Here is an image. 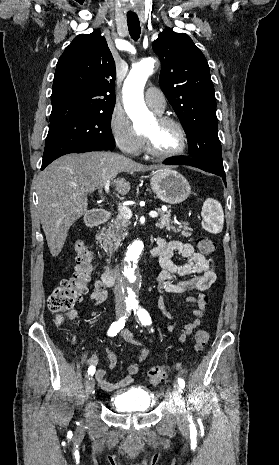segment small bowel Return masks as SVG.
Listing matches in <instances>:
<instances>
[{
  "instance_id": "obj_1",
  "label": "small bowel",
  "mask_w": 279,
  "mask_h": 465,
  "mask_svg": "<svg viewBox=\"0 0 279 465\" xmlns=\"http://www.w3.org/2000/svg\"><path fill=\"white\" fill-rule=\"evenodd\" d=\"M154 250L156 251L160 266L157 282L161 293L181 294L198 292L196 297L190 296L186 299L188 303L196 305L197 309L193 310L196 318L185 322L180 329L179 342L183 343L202 322V315L206 306L203 302V297L207 296L216 280V265L212 257L195 251L190 243L178 240L166 241L163 238H158L157 246ZM176 253L186 260L183 264L173 262L172 258ZM186 277H189V279L182 280ZM106 288L107 285L103 282L102 278L94 282L90 299L95 305L101 304L107 299L108 292ZM166 315L168 318L174 319L173 315L169 313ZM176 327L177 324L173 323L166 330L171 332ZM121 336L130 345L138 346L140 349L137 360L127 367V376L119 382L111 383L107 381L106 370L104 368H96L99 362L97 354L91 355L87 360V364L90 367H95V378L104 391L110 392L130 385L133 381V376L138 373L140 365L150 354V348L138 340L129 330H123ZM106 353L108 367L113 369L117 362L116 354L109 346L106 347Z\"/></svg>"
}]
</instances>
